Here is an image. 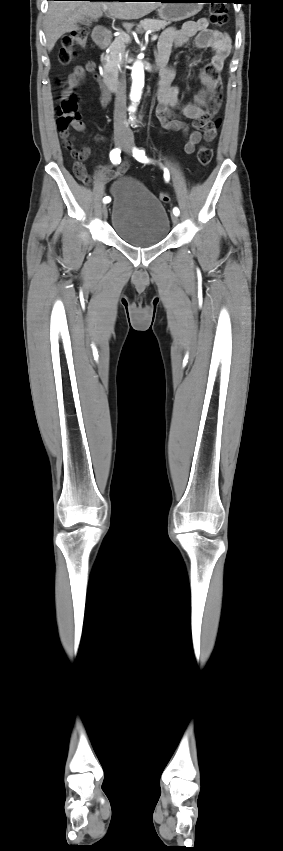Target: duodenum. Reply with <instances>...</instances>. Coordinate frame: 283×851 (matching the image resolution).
<instances>
[{
	"mask_svg": "<svg viewBox=\"0 0 283 851\" xmlns=\"http://www.w3.org/2000/svg\"><path fill=\"white\" fill-rule=\"evenodd\" d=\"M94 40H95V43H96L99 47H101V48H105V47H107V46H108V44L110 43V40H111V33H110V31H109V30H107V29H99V30H97V31L95 32ZM157 66H158L159 68H163V64H162V63H158V62H157ZM106 79H107V85H108L109 89H110V90H112V92H113V91H115V90H116V88H117V81H116V79H115V78H113V77H110V78H109V77H107Z\"/></svg>",
	"mask_w": 283,
	"mask_h": 851,
	"instance_id": "duodenum-1",
	"label": "duodenum"
}]
</instances>
